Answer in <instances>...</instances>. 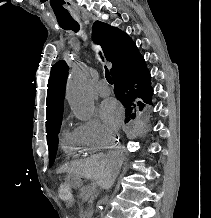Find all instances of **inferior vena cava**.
Wrapping results in <instances>:
<instances>
[{"instance_id": "1", "label": "inferior vena cava", "mask_w": 211, "mask_h": 218, "mask_svg": "<svg viewBox=\"0 0 211 218\" xmlns=\"http://www.w3.org/2000/svg\"><path fill=\"white\" fill-rule=\"evenodd\" d=\"M109 158H118L119 156V152H111V154H108ZM115 164H118L117 168H113V172L112 174H110L107 182H104V184H101L102 188H104V190H109V188H112L115 180H116V176L119 172V168H120V162L119 160H116V162H113V166H115Z\"/></svg>"}]
</instances>
